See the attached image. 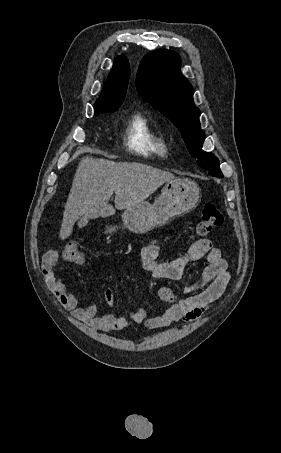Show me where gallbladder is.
<instances>
[{
  "label": "gallbladder",
  "instance_id": "1",
  "mask_svg": "<svg viewBox=\"0 0 281 453\" xmlns=\"http://www.w3.org/2000/svg\"><path fill=\"white\" fill-rule=\"evenodd\" d=\"M87 224H88V221L86 220V218H83V220H80L79 223L77 222L75 225L77 227L79 226V228H81V229H84V228H86Z\"/></svg>",
  "mask_w": 281,
  "mask_h": 453
}]
</instances>
